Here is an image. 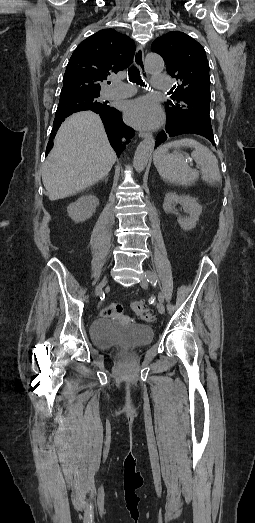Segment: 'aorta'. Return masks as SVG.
I'll return each mask as SVG.
<instances>
[{
	"mask_svg": "<svg viewBox=\"0 0 255 523\" xmlns=\"http://www.w3.org/2000/svg\"><path fill=\"white\" fill-rule=\"evenodd\" d=\"M145 66L148 73L158 74L164 69V61L160 55L149 53L145 58ZM154 147L155 139L152 136L145 138L138 145L133 159V166L136 172L140 173L145 169Z\"/></svg>",
	"mask_w": 255,
	"mask_h": 523,
	"instance_id": "aorta-1",
	"label": "aorta"
}]
</instances>
